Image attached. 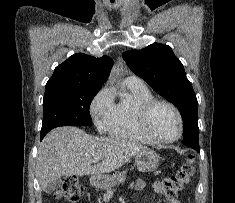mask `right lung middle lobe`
Returning a JSON list of instances; mask_svg holds the SVG:
<instances>
[{"instance_id": "right-lung-middle-lobe-1", "label": "right lung middle lobe", "mask_w": 235, "mask_h": 203, "mask_svg": "<svg viewBox=\"0 0 235 203\" xmlns=\"http://www.w3.org/2000/svg\"><path fill=\"white\" fill-rule=\"evenodd\" d=\"M99 90L84 85L45 88L41 133L59 126L92 125L89 106Z\"/></svg>"}]
</instances>
